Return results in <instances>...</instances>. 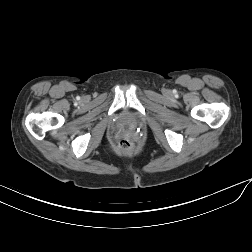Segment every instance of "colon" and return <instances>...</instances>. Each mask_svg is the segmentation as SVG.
Returning a JSON list of instances; mask_svg holds the SVG:
<instances>
[{"mask_svg": "<svg viewBox=\"0 0 252 252\" xmlns=\"http://www.w3.org/2000/svg\"><path fill=\"white\" fill-rule=\"evenodd\" d=\"M117 149L121 153H132L135 149V144L132 140L128 138H122L117 143Z\"/></svg>", "mask_w": 252, "mask_h": 252, "instance_id": "1", "label": "colon"}]
</instances>
